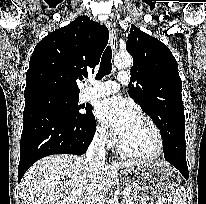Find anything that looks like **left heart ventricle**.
<instances>
[{
    "instance_id": "b2bd125f",
    "label": "left heart ventricle",
    "mask_w": 206,
    "mask_h": 204,
    "mask_svg": "<svg viewBox=\"0 0 206 204\" xmlns=\"http://www.w3.org/2000/svg\"><path fill=\"white\" fill-rule=\"evenodd\" d=\"M121 140L126 149L135 154L150 155L157 150V139L152 128L138 117L133 119Z\"/></svg>"
}]
</instances>
